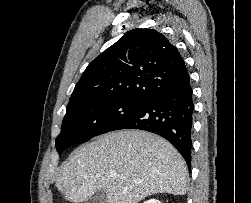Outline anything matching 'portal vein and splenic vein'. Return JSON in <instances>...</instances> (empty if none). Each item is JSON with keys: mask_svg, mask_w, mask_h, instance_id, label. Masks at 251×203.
<instances>
[{"mask_svg": "<svg viewBox=\"0 0 251 203\" xmlns=\"http://www.w3.org/2000/svg\"><path fill=\"white\" fill-rule=\"evenodd\" d=\"M116 176V173H112L111 177L114 178Z\"/></svg>", "mask_w": 251, "mask_h": 203, "instance_id": "18ae733b", "label": "portal vein and splenic vein"}]
</instances>
